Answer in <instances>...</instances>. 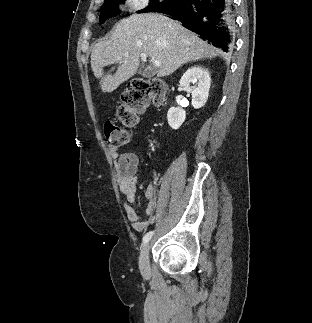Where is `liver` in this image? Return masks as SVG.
Returning a JSON list of instances; mask_svg holds the SVG:
<instances>
[{"label":"liver","mask_w":312,"mask_h":323,"mask_svg":"<svg viewBox=\"0 0 312 323\" xmlns=\"http://www.w3.org/2000/svg\"><path fill=\"white\" fill-rule=\"evenodd\" d=\"M219 50L190 32L181 22L165 14H132L115 24L111 34L95 44L91 68L100 78L102 92H114L120 84L135 76L141 54L151 62H161L157 78L170 76L182 64L216 56ZM109 64H120L115 74H104Z\"/></svg>","instance_id":"obj_1"}]
</instances>
